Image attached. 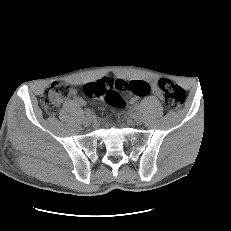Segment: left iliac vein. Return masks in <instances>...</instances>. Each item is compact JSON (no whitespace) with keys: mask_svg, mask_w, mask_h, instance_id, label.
Masks as SVG:
<instances>
[{"mask_svg":"<svg viewBox=\"0 0 231 231\" xmlns=\"http://www.w3.org/2000/svg\"><path fill=\"white\" fill-rule=\"evenodd\" d=\"M133 121L137 124V125H141L143 123V117L140 114H134L133 115Z\"/></svg>","mask_w":231,"mask_h":231,"instance_id":"left-iliac-vein-1","label":"left iliac vein"}]
</instances>
